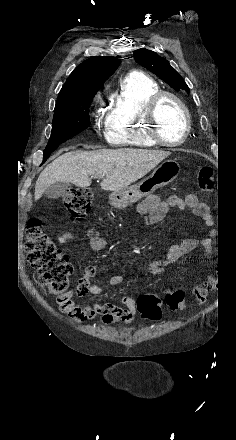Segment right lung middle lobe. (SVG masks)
Segmentation results:
<instances>
[{"label":"right lung middle lobe","instance_id":"obj_1","mask_svg":"<svg viewBox=\"0 0 236 440\" xmlns=\"http://www.w3.org/2000/svg\"><path fill=\"white\" fill-rule=\"evenodd\" d=\"M95 94L56 104L51 137L46 148L58 147L90 125L88 108Z\"/></svg>","mask_w":236,"mask_h":440}]
</instances>
